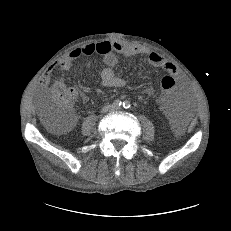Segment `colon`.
<instances>
[{
  "label": "colon",
  "instance_id": "1",
  "mask_svg": "<svg viewBox=\"0 0 231 231\" xmlns=\"http://www.w3.org/2000/svg\"><path fill=\"white\" fill-rule=\"evenodd\" d=\"M160 88L165 92L172 91L176 86L175 79L170 75L163 76L159 81ZM75 91L68 87L54 88L42 111V117L47 128L53 132H61L74 122L71 106Z\"/></svg>",
  "mask_w": 231,
  "mask_h": 231
}]
</instances>
